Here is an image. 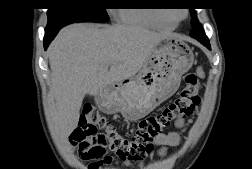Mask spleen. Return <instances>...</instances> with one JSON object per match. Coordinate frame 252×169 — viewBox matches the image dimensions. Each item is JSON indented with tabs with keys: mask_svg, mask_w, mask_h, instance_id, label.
Segmentation results:
<instances>
[{
	"mask_svg": "<svg viewBox=\"0 0 252 169\" xmlns=\"http://www.w3.org/2000/svg\"><path fill=\"white\" fill-rule=\"evenodd\" d=\"M197 74L200 76V77H204V73H203V70H202V68L201 67H199L198 69H197Z\"/></svg>",
	"mask_w": 252,
	"mask_h": 169,
	"instance_id": "spleen-1",
	"label": "spleen"
}]
</instances>
